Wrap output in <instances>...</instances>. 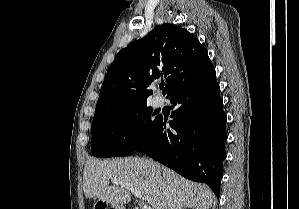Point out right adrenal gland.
Listing matches in <instances>:
<instances>
[{"label":"right adrenal gland","instance_id":"2a0ac1e0","mask_svg":"<svg viewBox=\"0 0 299 209\" xmlns=\"http://www.w3.org/2000/svg\"><path fill=\"white\" fill-rule=\"evenodd\" d=\"M179 209H187L186 207H183V208H179Z\"/></svg>","mask_w":299,"mask_h":209}]
</instances>
